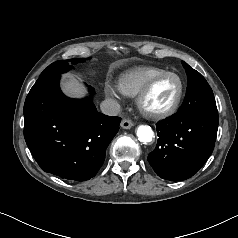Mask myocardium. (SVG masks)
Masks as SVG:
<instances>
[{
  "mask_svg": "<svg viewBox=\"0 0 238 238\" xmlns=\"http://www.w3.org/2000/svg\"><path fill=\"white\" fill-rule=\"evenodd\" d=\"M167 76H174L179 81V90H178V93H177L175 99L169 106H167L166 108L160 109V110H151V109L147 108L145 105V102H146L147 97L151 93L153 87L159 80H161L162 78L167 77ZM184 90H185V83H184L183 78L175 72L165 71V72H162V73L154 76L146 84V86L143 88V90L137 96L136 104H137L139 111L145 117L154 119V120L165 119V118L173 115L178 110V108L181 104V101L183 99Z\"/></svg>",
  "mask_w": 238,
  "mask_h": 238,
  "instance_id": "1",
  "label": "myocardium"
}]
</instances>
